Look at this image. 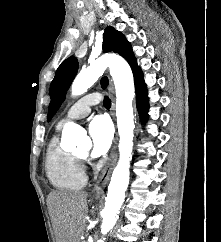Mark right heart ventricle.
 Instances as JSON below:
<instances>
[{"label":"right heart ventricle","mask_w":221,"mask_h":242,"mask_svg":"<svg viewBox=\"0 0 221 242\" xmlns=\"http://www.w3.org/2000/svg\"><path fill=\"white\" fill-rule=\"evenodd\" d=\"M45 171L49 182L59 190H75L86 184L84 170L78 157L63 150L56 135L51 137L47 146Z\"/></svg>","instance_id":"1"}]
</instances>
